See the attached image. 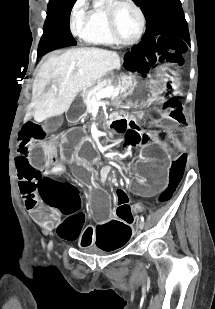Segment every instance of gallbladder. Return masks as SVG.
Listing matches in <instances>:
<instances>
[{
    "instance_id": "1",
    "label": "gallbladder",
    "mask_w": 215,
    "mask_h": 309,
    "mask_svg": "<svg viewBox=\"0 0 215 309\" xmlns=\"http://www.w3.org/2000/svg\"><path fill=\"white\" fill-rule=\"evenodd\" d=\"M49 84H46L45 86V92L48 90ZM57 118H60V115H57ZM49 123H59V120H49ZM47 130H50L51 132H57L58 126L57 125H51L50 127H47Z\"/></svg>"
}]
</instances>
